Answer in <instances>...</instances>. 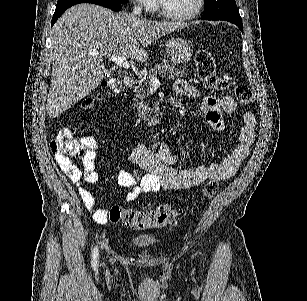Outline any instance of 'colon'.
Returning <instances> with one entry per match:
<instances>
[{"label": "colon", "mask_w": 307, "mask_h": 301, "mask_svg": "<svg viewBox=\"0 0 307 301\" xmlns=\"http://www.w3.org/2000/svg\"><path fill=\"white\" fill-rule=\"evenodd\" d=\"M196 71L203 86L208 89L226 90L230 83L225 77L216 72V64L212 54L207 49H199L195 55ZM121 82L109 80L103 84V88L109 93L119 92ZM236 99L242 106L251 105L254 102V94L250 87L240 84L235 87ZM93 104V99L84 103L88 108ZM54 153H61L70 157H82L85 154V146L82 137L77 135L74 129L66 128L59 131L51 142ZM203 195L213 197L218 191V183L215 180L207 181L203 186ZM178 212L167 204L158 205L148 210L126 209L121 206H113L109 210V220L112 223H122L138 230L161 228L176 221Z\"/></svg>", "instance_id": "obj_1"}]
</instances>
